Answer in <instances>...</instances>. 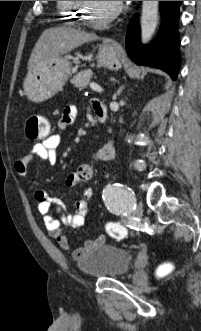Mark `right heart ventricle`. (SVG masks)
<instances>
[{
  "instance_id": "obj_1",
  "label": "right heart ventricle",
  "mask_w": 201,
  "mask_h": 331,
  "mask_svg": "<svg viewBox=\"0 0 201 331\" xmlns=\"http://www.w3.org/2000/svg\"><path fill=\"white\" fill-rule=\"evenodd\" d=\"M57 8L61 20L70 25L76 23V20L78 19L77 16H79L76 1H57Z\"/></svg>"
}]
</instances>
